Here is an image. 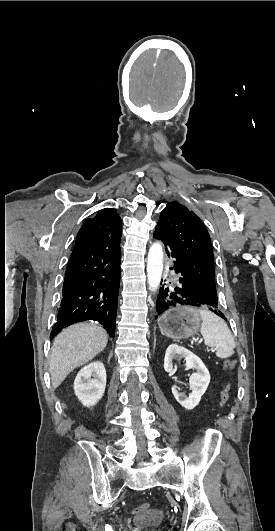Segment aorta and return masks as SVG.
Instances as JSON below:
<instances>
[{"label": "aorta", "mask_w": 275, "mask_h": 531, "mask_svg": "<svg viewBox=\"0 0 275 531\" xmlns=\"http://www.w3.org/2000/svg\"><path fill=\"white\" fill-rule=\"evenodd\" d=\"M163 271V249L161 243H153L149 249L147 277L150 291H157Z\"/></svg>", "instance_id": "762f6f07"}]
</instances>
